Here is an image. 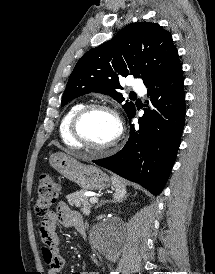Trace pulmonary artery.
<instances>
[{
    "instance_id": "obj_1",
    "label": "pulmonary artery",
    "mask_w": 215,
    "mask_h": 274,
    "mask_svg": "<svg viewBox=\"0 0 215 274\" xmlns=\"http://www.w3.org/2000/svg\"><path fill=\"white\" fill-rule=\"evenodd\" d=\"M131 86H132V89L134 91L138 92V93H144L145 92L144 85L138 80L133 81Z\"/></svg>"
}]
</instances>
